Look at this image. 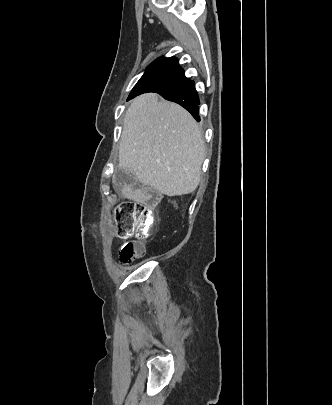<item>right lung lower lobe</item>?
I'll return each instance as SVG.
<instances>
[{"label":"right lung lower lobe","mask_w":332,"mask_h":405,"mask_svg":"<svg viewBox=\"0 0 332 405\" xmlns=\"http://www.w3.org/2000/svg\"><path fill=\"white\" fill-rule=\"evenodd\" d=\"M163 96L169 101L176 102L188 110L191 115L197 120L200 121L199 113V98L195 89V84L193 80H186L183 83L176 85L172 88L155 91ZM142 94L138 91H131L128 100L134 98L135 96Z\"/></svg>","instance_id":"right-lung-lower-lobe-1"}]
</instances>
